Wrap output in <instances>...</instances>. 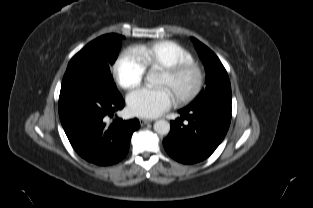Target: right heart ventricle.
Listing matches in <instances>:
<instances>
[{
    "mask_svg": "<svg viewBox=\"0 0 313 208\" xmlns=\"http://www.w3.org/2000/svg\"><path fill=\"white\" fill-rule=\"evenodd\" d=\"M134 51L143 62L145 68L149 69H163L193 60L192 54L186 48L170 40L139 45Z\"/></svg>",
    "mask_w": 313,
    "mask_h": 208,
    "instance_id": "1",
    "label": "right heart ventricle"
}]
</instances>
